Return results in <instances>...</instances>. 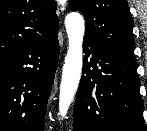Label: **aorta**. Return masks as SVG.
I'll return each mask as SVG.
<instances>
[{"mask_svg": "<svg viewBox=\"0 0 147 131\" xmlns=\"http://www.w3.org/2000/svg\"><path fill=\"white\" fill-rule=\"evenodd\" d=\"M69 47L63 66L62 80L59 95V115L66 116L82 72V44L85 31L83 17L76 12L68 14L65 18Z\"/></svg>", "mask_w": 147, "mask_h": 131, "instance_id": "aorta-1", "label": "aorta"}]
</instances>
